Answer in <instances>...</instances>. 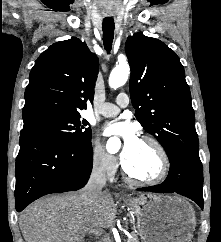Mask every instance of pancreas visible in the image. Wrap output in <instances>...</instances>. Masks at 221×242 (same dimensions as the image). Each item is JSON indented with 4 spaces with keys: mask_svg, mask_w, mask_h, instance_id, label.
<instances>
[{
    "mask_svg": "<svg viewBox=\"0 0 221 242\" xmlns=\"http://www.w3.org/2000/svg\"><path fill=\"white\" fill-rule=\"evenodd\" d=\"M126 242H139V239H138L136 234H132V238L131 239H127Z\"/></svg>",
    "mask_w": 221,
    "mask_h": 242,
    "instance_id": "obj_1",
    "label": "pancreas"
}]
</instances>
